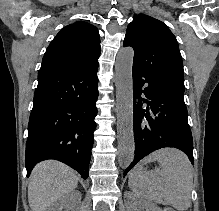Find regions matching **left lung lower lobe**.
I'll return each mask as SVG.
<instances>
[{"mask_svg": "<svg viewBox=\"0 0 219 211\" xmlns=\"http://www.w3.org/2000/svg\"><path fill=\"white\" fill-rule=\"evenodd\" d=\"M135 158L124 175L149 153L173 147L193 158V139L184 96L133 68Z\"/></svg>", "mask_w": 219, "mask_h": 211, "instance_id": "0a47b994", "label": "left lung lower lobe"}]
</instances>
